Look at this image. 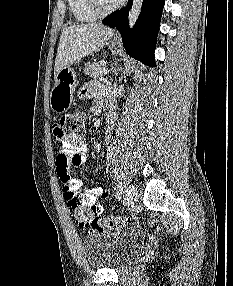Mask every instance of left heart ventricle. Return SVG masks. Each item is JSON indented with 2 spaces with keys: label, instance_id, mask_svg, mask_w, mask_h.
Here are the masks:
<instances>
[{
  "label": "left heart ventricle",
  "instance_id": "b2bd125f",
  "mask_svg": "<svg viewBox=\"0 0 233 286\" xmlns=\"http://www.w3.org/2000/svg\"><path fill=\"white\" fill-rule=\"evenodd\" d=\"M100 3L104 8H108L116 3V0H100Z\"/></svg>",
  "mask_w": 233,
  "mask_h": 286
}]
</instances>
